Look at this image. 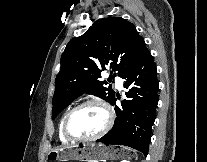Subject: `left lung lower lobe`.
<instances>
[{
  "label": "left lung lower lobe",
  "mask_w": 207,
  "mask_h": 162,
  "mask_svg": "<svg viewBox=\"0 0 207 162\" xmlns=\"http://www.w3.org/2000/svg\"><path fill=\"white\" fill-rule=\"evenodd\" d=\"M127 100L116 106L117 118L114 127L98 142L132 147L145 156L148 154L155 110L158 104L156 65L147 50L121 77ZM116 102L114 99L112 105Z\"/></svg>",
  "instance_id": "1"
}]
</instances>
